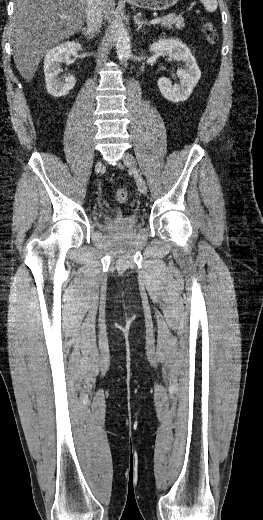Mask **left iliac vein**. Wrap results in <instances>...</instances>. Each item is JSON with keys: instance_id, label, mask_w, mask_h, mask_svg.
<instances>
[{"instance_id": "4c4485c4", "label": "left iliac vein", "mask_w": 263, "mask_h": 520, "mask_svg": "<svg viewBox=\"0 0 263 520\" xmlns=\"http://www.w3.org/2000/svg\"><path fill=\"white\" fill-rule=\"evenodd\" d=\"M123 162L124 164L133 172L134 174V178H135V181H136V184H137V187L139 189V191L142 193V194H146L147 193V185H146V182L144 180V178L142 177L137 165H136V162L134 160V157L130 154V153H124L123 155Z\"/></svg>"}]
</instances>
